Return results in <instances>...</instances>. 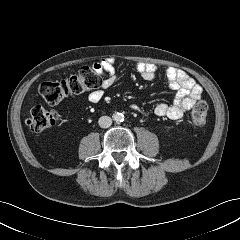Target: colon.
Returning a JSON list of instances; mask_svg holds the SVG:
<instances>
[{
  "label": "colon",
  "instance_id": "obj_1",
  "mask_svg": "<svg viewBox=\"0 0 240 240\" xmlns=\"http://www.w3.org/2000/svg\"><path fill=\"white\" fill-rule=\"evenodd\" d=\"M98 74L90 67L81 68L76 74L61 80H48L41 83L40 95L49 104H56L72 95L83 94L96 89L99 85ZM207 104L197 102L191 112L190 121L194 128L202 127L206 122ZM59 122V115L43 106H35L28 118V126L34 133H40L55 126Z\"/></svg>",
  "mask_w": 240,
  "mask_h": 240
}]
</instances>
